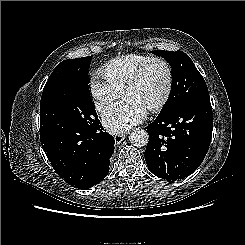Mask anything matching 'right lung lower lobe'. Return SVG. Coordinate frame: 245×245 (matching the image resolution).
Instances as JSON below:
<instances>
[{
  "mask_svg": "<svg viewBox=\"0 0 245 245\" xmlns=\"http://www.w3.org/2000/svg\"><path fill=\"white\" fill-rule=\"evenodd\" d=\"M97 121L90 127L40 126L42 147L56 173L69 185L88 189L109 171L114 138Z\"/></svg>",
  "mask_w": 245,
  "mask_h": 245,
  "instance_id": "right-lung-lower-lobe-1",
  "label": "right lung lower lobe"
}]
</instances>
